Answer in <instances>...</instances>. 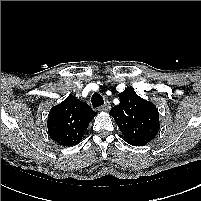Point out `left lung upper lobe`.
<instances>
[{
    "mask_svg": "<svg viewBox=\"0 0 201 201\" xmlns=\"http://www.w3.org/2000/svg\"><path fill=\"white\" fill-rule=\"evenodd\" d=\"M120 103L109 115L116 121L124 140L134 146H144L160 129L156 106L138 96L133 89L119 93Z\"/></svg>",
    "mask_w": 201,
    "mask_h": 201,
    "instance_id": "1",
    "label": "left lung upper lobe"
}]
</instances>
